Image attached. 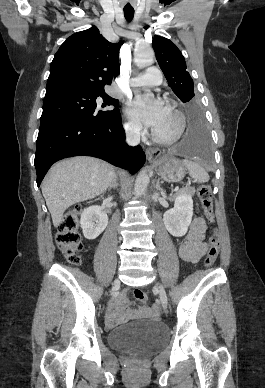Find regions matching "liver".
Listing matches in <instances>:
<instances>
[{
  "label": "liver",
  "mask_w": 265,
  "mask_h": 388,
  "mask_svg": "<svg viewBox=\"0 0 265 388\" xmlns=\"http://www.w3.org/2000/svg\"><path fill=\"white\" fill-rule=\"evenodd\" d=\"M114 178L111 164L87 156L69 158L52 166L41 188L54 228L60 226L69 206L100 196Z\"/></svg>",
  "instance_id": "6515ba94"
}]
</instances>
